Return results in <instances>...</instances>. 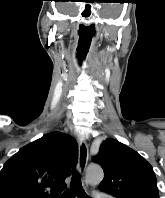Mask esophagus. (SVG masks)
Returning <instances> with one entry per match:
<instances>
[{"label":"esophagus","instance_id":"34e87169","mask_svg":"<svg viewBox=\"0 0 165 198\" xmlns=\"http://www.w3.org/2000/svg\"><path fill=\"white\" fill-rule=\"evenodd\" d=\"M89 159L88 145L84 139L78 140V172L80 176L84 175Z\"/></svg>","mask_w":165,"mask_h":198}]
</instances>
